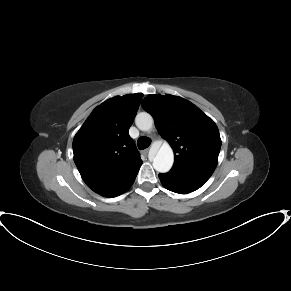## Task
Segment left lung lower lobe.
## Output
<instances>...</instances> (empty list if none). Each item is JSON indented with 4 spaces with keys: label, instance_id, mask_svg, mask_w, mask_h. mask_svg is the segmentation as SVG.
Masks as SVG:
<instances>
[{
    "label": "left lung lower lobe",
    "instance_id": "left-lung-lower-lobe-1",
    "mask_svg": "<svg viewBox=\"0 0 291 291\" xmlns=\"http://www.w3.org/2000/svg\"><path fill=\"white\" fill-rule=\"evenodd\" d=\"M159 178L165 188L179 194L193 192L207 181L203 179L184 177L170 172L159 174Z\"/></svg>",
    "mask_w": 291,
    "mask_h": 291
}]
</instances>
